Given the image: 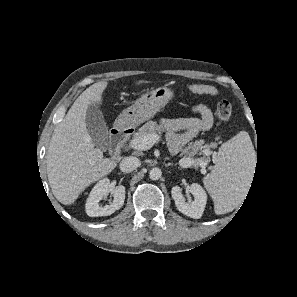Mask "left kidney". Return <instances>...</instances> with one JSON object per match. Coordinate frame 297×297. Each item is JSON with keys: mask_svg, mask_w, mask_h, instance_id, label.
<instances>
[{"mask_svg": "<svg viewBox=\"0 0 297 297\" xmlns=\"http://www.w3.org/2000/svg\"><path fill=\"white\" fill-rule=\"evenodd\" d=\"M190 192L195 199L187 203L182 195V189L179 186H174L171 190L172 198L175 201L177 209L184 215L198 219L204 212L207 194L203 187L197 183H193L190 186Z\"/></svg>", "mask_w": 297, "mask_h": 297, "instance_id": "1", "label": "left kidney"}]
</instances>
